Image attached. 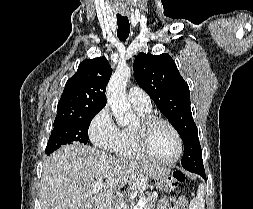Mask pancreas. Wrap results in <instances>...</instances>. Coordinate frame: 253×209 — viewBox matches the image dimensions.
I'll return each mask as SVG.
<instances>
[{"label":"pancreas","mask_w":253,"mask_h":209,"mask_svg":"<svg viewBox=\"0 0 253 209\" xmlns=\"http://www.w3.org/2000/svg\"><path fill=\"white\" fill-rule=\"evenodd\" d=\"M156 200H157V195L147 194V196L145 197V205L143 206V209H154Z\"/></svg>","instance_id":"1"}]
</instances>
